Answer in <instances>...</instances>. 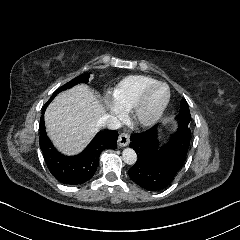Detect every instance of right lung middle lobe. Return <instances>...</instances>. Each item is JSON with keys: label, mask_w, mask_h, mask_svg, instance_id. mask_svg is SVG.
I'll list each match as a JSON object with an SVG mask.
<instances>
[{"label": "right lung middle lobe", "mask_w": 240, "mask_h": 240, "mask_svg": "<svg viewBox=\"0 0 240 240\" xmlns=\"http://www.w3.org/2000/svg\"><path fill=\"white\" fill-rule=\"evenodd\" d=\"M89 73H85V74H82L76 78H74L73 80L69 81L68 83H66L65 85H63L62 87H60L52 96L51 98L49 99V101L45 104V106L43 107V109H46V107L48 106V104L54 99V97L61 91L63 90H66V89H69L71 87H73L74 85L76 84H79V83H84V82H87V79L89 77Z\"/></svg>", "instance_id": "obj_1"}]
</instances>
